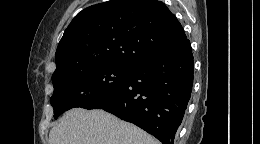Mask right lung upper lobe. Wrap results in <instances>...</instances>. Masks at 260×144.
<instances>
[{
    "mask_svg": "<svg viewBox=\"0 0 260 144\" xmlns=\"http://www.w3.org/2000/svg\"><path fill=\"white\" fill-rule=\"evenodd\" d=\"M186 40L183 27L163 2L111 0L92 5L65 30L53 76L105 64L131 67Z\"/></svg>",
    "mask_w": 260,
    "mask_h": 144,
    "instance_id": "obj_1",
    "label": "right lung upper lobe"
}]
</instances>
